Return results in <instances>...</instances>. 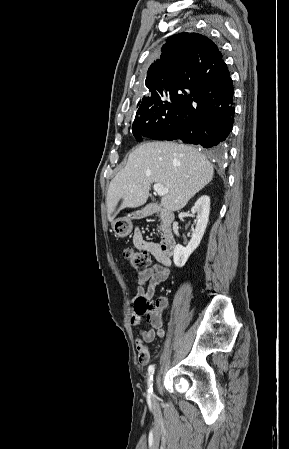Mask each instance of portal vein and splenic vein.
Instances as JSON below:
<instances>
[{
  "mask_svg": "<svg viewBox=\"0 0 289 449\" xmlns=\"http://www.w3.org/2000/svg\"><path fill=\"white\" fill-rule=\"evenodd\" d=\"M153 189L159 196H164L168 193V189L165 188L161 183H155Z\"/></svg>",
  "mask_w": 289,
  "mask_h": 449,
  "instance_id": "obj_1",
  "label": "portal vein and splenic vein"
}]
</instances>
